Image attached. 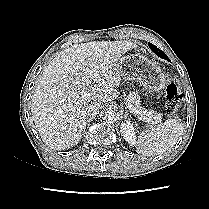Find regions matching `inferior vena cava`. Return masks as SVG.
Masks as SVG:
<instances>
[{
  "instance_id": "1",
  "label": "inferior vena cava",
  "mask_w": 209,
  "mask_h": 209,
  "mask_svg": "<svg viewBox=\"0 0 209 209\" xmlns=\"http://www.w3.org/2000/svg\"><path fill=\"white\" fill-rule=\"evenodd\" d=\"M101 106L102 105L99 102L91 104L87 109L88 115H90L92 117L96 116L99 113Z\"/></svg>"
}]
</instances>
